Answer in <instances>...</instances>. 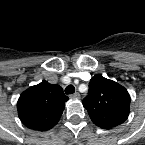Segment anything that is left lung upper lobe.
Wrapping results in <instances>:
<instances>
[{
	"mask_svg": "<svg viewBox=\"0 0 145 145\" xmlns=\"http://www.w3.org/2000/svg\"><path fill=\"white\" fill-rule=\"evenodd\" d=\"M90 96L84 98L92 122L100 128L112 129L122 124L129 115L130 95L115 81L95 75L89 83Z\"/></svg>",
	"mask_w": 145,
	"mask_h": 145,
	"instance_id": "1",
	"label": "left lung upper lobe"
}]
</instances>
